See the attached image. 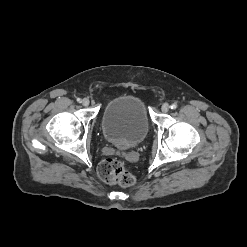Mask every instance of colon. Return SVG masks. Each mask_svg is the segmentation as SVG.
Returning <instances> with one entry per match:
<instances>
[{
  "mask_svg": "<svg viewBox=\"0 0 247 247\" xmlns=\"http://www.w3.org/2000/svg\"><path fill=\"white\" fill-rule=\"evenodd\" d=\"M97 173L101 180L111 185L127 187L135 182V177L128 171L125 164L114 158L104 159L98 165Z\"/></svg>",
  "mask_w": 247,
  "mask_h": 247,
  "instance_id": "obj_1",
  "label": "colon"
}]
</instances>
